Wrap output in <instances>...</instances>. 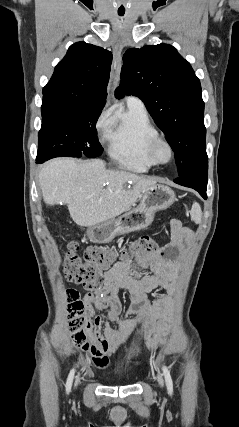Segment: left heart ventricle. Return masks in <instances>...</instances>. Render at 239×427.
<instances>
[{"instance_id": "obj_1", "label": "left heart ventricle", "mask_w": 239, "mask_h": 427, "mask_svg": "<svg viewBox=\"0 0 239 427\" xmlns=\"http://www.w3.org/2000/svg\"><path fill=\"white\" fill-rule=\"evenodd\" d=\"M156 155L160 160H166L168 158V149L165 145H159L156 150Z\"/></svg>"}]
</instances>
